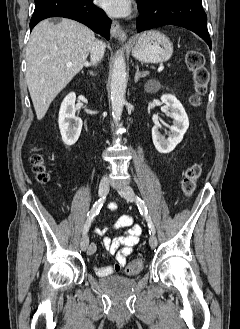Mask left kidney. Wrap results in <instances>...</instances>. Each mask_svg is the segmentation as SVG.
<instances>
[{
  "mask_svg": "<svg viewBox=\"0 0 240 329\" xmlns=\"http://www.w3.org/2000/svg\"><path fill=\"white\" fill-rule=\"evenodd\" d=\"M159 88L160 84L157 81H149L146 84V91L151 93L158 91ZM161 101L165 104L166 110H170L168 115L173 119V125L170 126L171 131L167 139L161 135L159 127L155 125L152 128V140L158 152L167 154L182 141L189 127V120L184 107L175 96L164 94L161 96Z\"/></svg>",
  "mask_w": 240,
  "mask_h": 329,
  "instance_id": "left-kidney-1",
  "label": "left kidney"
}]
</instances>
